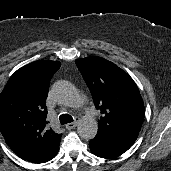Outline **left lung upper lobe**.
Wrapping results in <instances>:
<instances>
[{"label":"left lung upper lobe","mask_w":171,"mask_h":171,"mask_svg":"<svg viewBox=\"0 0 171 171\" xmlns=\"http://www.w3.org/2000/svg\"><path fill=\"white\" fill-rule=\"evenodd\" d=\"M75 63L101 111L96 136L128 150L144 119V103L133 79L114 63L97 56Z\"/></svg>","instance_id":"5c2ea615"}]
</instances>
